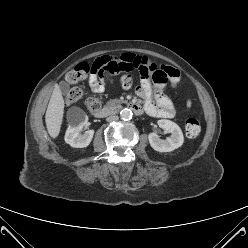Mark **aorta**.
<instances>
[{"label":"aorta","instance_id":"obj_1","mask_svg":"<svg viewBox=\"0 0 248 248\" xmlns=\"http://www.w3.org/2000/svg\"><path fill=\"white\" fill-rule=\"evenodd\" d=\"M132 116H133V113L130 109L128 108H124L121 110L120 112V117L121 119L125 120V121H128V120H131L132 119Z\"/></svg>","mask_w":248,"mask_h":248}]
</instances>
